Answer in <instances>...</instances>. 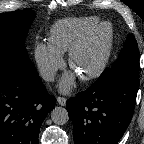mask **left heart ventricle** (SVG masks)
I'll return each mask as SVG.
<instances>
[{"mask_svg":"<svg viewBox=\"0 0 144 144\" xmlns=\"http://www.w3.org/2000/svg\"><path fill=\"white\" fill-rule=\"evenodd\" d=\"M107 29L94 34L75 57L73 70L84 74L94 69L100 62L106 48Z\"/></svg>","mask_w":144,"mask_h":144,"instance_id":"b2bd125f","label":"left heart ventricle"}]
</instances>
